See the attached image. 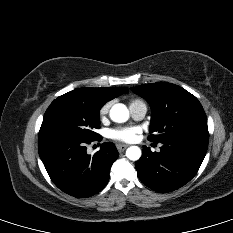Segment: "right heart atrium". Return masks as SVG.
<instances>
[{
	"mask_svg": "<svg viewBox=\"0 0 233 233\" xmlns=\"http://www.w3.org/2000/svg\"><path fill=\"white\" fill-rule=\"evenodd\" d=\"M110 107H111V102H107L102 105V107L99 110V116L101 119H104L106 117V115L108 114L110 110Z\"/></svg>",
	"mask_w": 233,
	"mask_h": 233,
	"instance_id": "1",
	"label": "right heart atrium"
}]
</instances>
